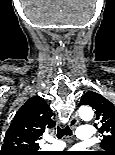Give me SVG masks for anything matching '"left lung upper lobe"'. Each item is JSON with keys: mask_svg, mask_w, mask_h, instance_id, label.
<instances>
[{"mask_svg": "<svg viewBox=\"0 0 115 155\" xmlns=\"http://www.w3.org/2000/svg\"><path fill=\"white\" fill-rule=\"evenodd\" d=\"M79 105L93 107L96 120L100 124L99 132L103 137L100 146L103 151H96L91 155H115V106L102 95L92 91L83 95Z\"/></svg>", "mask_w": 115, "mask_h": 155, "instance_id": "obj_1", "label": "left lung upper lobe"}]
</instances>
